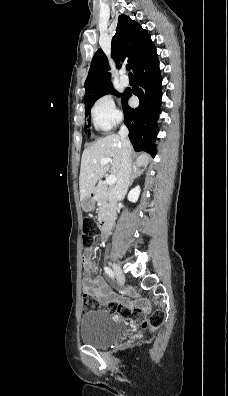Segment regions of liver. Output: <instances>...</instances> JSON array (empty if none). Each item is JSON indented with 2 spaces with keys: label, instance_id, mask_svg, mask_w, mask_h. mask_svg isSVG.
<instances>
[{
  "label": "liver",
  "instance_id": "6515ba94",
  "mask_svg": "<svg viewBox=\"0 0 228 396\" xmlns=\"http://www.w3.org/2000/svg\"><path fill=\"white\" fill-rule=\"evenodd\" d=\"M122 142L119 135L111 134L97 140L91 147L83 151L79 176L80 201L93 193L95 185L110 169L111 175L119 177L122 160ZM104 158L112 159L110 165L100 164ZM150 156L146 153L136 158L135 164L139 167L146 166Z\"/></svg>",
  "mask_w": 228,
  "mask_h": 396
}]
</instances>
